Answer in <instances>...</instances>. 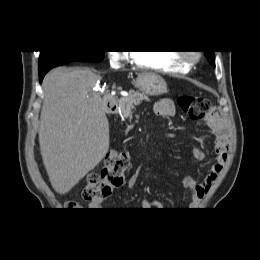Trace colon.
<instances>
[{
	"label": "colon",
	"instance_id": "5ec220e1",
	"mask_svg": "<svg viewBox=\"0 0 260 260\" xmlns=\"http://www.w3.org/2000/svg\"><path fill=\"white\" fill-rule=\"evenodd\" d=\"M177 103L189 117L194 119L216 115L211 102L205 97L180 96ZM128 167L129 159L125 154L114 153L110 155L105 167L100 172L88 175L82 191L83 199L92 201L107 198L114 189L124 184ZM66 208L78 210L79 205L76 202H67Z\"/></svg>",
	"mask_w": 260,
	"mask_h": 260
}]
</instances>
